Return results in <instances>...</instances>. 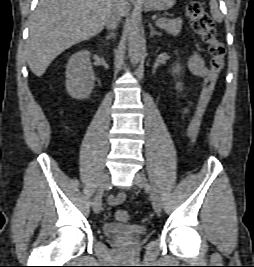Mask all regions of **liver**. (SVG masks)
Masks as SVG:
<instances>
[{"mask_svg":"<svg viewBox=\"0 0 254 267\" xmlns=\"http://www.w3.org/2000/svg\"><path fill=\"white\" fill-rule=\"evenodd\" d=\"M39 0L29 18L26 44L30 70L41 77L52 61L71 46L100 33L114 7L124 17L126 0Z\"/></svg>","mask_w":254,"mask_h":267,"instance_id":"liver-1","label":"liver"}]
</instances>
